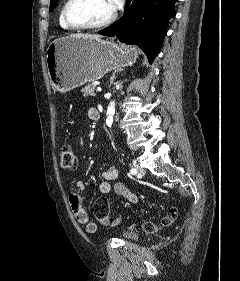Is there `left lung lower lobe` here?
<instances>
[{
	"label": "left lung lower lobe",
	"instance_id": "1",
	"mask_svg": "<svg viewBox=\"0 0 240 281\" xmlns=\"http://www.w3.org/2000/svg\"><path fill=\"white\" fill-rule=\"evenodd\" d=\"M176 1L127 0L123 16L99 34L117 36L121 42L136 44L152 62L161 49L168 20L176 15Z\"/></svg>",
	"mask_w": 240,
	"mask_h": 281
}]
</instances>
